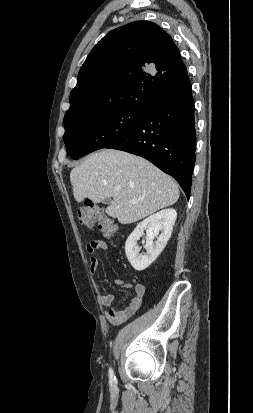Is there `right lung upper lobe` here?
<instances>
[{"label":"right lung upper lobe","instance_id":"1","mask_svg":"<svg viewBox=\"0 0 253 413\" xmlns=\"http://www.w3.org/2000/svg\"><path fill=\"white\" fill-rule=\"evenodd\" d=\"M190 85L172 38L155 23L135 21L110 31L89 53L63 122L114 109L144 110Z\"/></svg>","mask_w":253,"mask_h":413}]
</instances>
